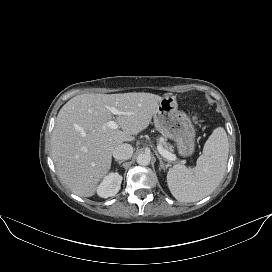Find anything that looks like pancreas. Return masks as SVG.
Listing matches in <instances>:
<instances>
[{
    "label": "pancreas",
    "mask_w": 272,
    "mask_h": 272,
    "mask_svg": "<svg viewBox=\"0 0 272 272\" xmlns=\"http://www.w3.org/2000/svg\"><path fill=\"white\" fill-rule=\"evenodd\" d=\"M160 143H161L162 147L165 150L169 151L170 153L174 151L173 146L167 142V139H164V138L161 139Z\"/></svg>",
    "instance_id": "1"
}]
</instances>
